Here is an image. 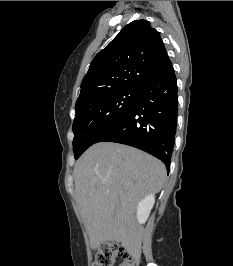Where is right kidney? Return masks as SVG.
<instances>
[{"instance_id":"obj_1","label":"right kidney","mask_w":233,"mask_h":266,"mask_svg":"<svg viewBox=\"0 0 233 266\" xmlns=\"http://www.w3.org/2000/svg\"><path fill=\"white\" fill-rule=\"evenodd\" d=\"M155 196L154 194L147 195L142 199L137 206V220L140 224L146 222L149 217L150 211L154 205Z\"/></svg>"}]
</instances>
